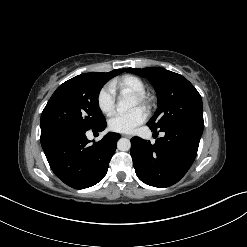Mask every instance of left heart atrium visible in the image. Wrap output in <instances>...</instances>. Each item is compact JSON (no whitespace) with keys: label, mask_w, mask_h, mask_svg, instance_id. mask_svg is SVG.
Instances as JSON below:
<instances>
[{"label":"left heart atrium","mask_w":247,"mask_h":247,"mask_svg":"<svg viewBox=\"0 0 247 247\" xmlns=\"http://www.w3.org/2000/svg\"><path fill=\"white\" fill-rule=\"evenodd\" d=\"M146 120L145 111L136 107L129 112L117 113L109 120V128L120 133H130Z\"/></svg>","instance_id":"left-heart-atrium-1"}]
</instances>
